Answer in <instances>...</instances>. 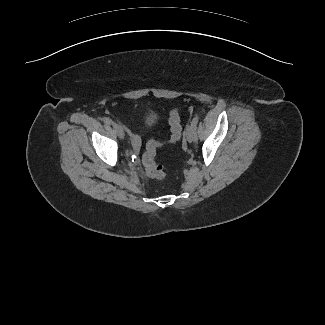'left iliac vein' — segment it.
I'll return each instance as SVG.
<instances>
[{
  "mask_svg": "<svg viewBox=\"0 0 325 325\" xmlns=\"http://www.w3.org/2000/svg\"><path fill=\"white\" fill-rule=\"evenodd\" d=\"M185 135H186V139H187V141L189 143L194 141V136H193V132H192V129H191V125L187 126Z\"/></svg>",
  "mask_w": 325,
  "mask_h": 325,
  "instance_id": "1",
  "label": "left iliac vein"
}]
</instances>
